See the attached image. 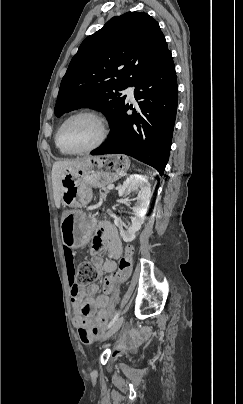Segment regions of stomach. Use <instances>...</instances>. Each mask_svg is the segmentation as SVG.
<instances>
[{"label": "stomach", "instance_id": "1", "mask_svg": "<svg viewBox=\"0 0 243 404\" xmlns=\"http://www.w3.org/2000/svg\"><path fill=\"white\" fill-rule=\"evenodd\" d=\"M129 168V160L123 155L108 154L87 157L67 166L61 174V199L66 211L61 223L62 239L66 246H84L96 224L85 208L92 199V188H101L123 177Z\"/></svg>", "mask_w": 243, "mask_h": 404}]
</instances>
